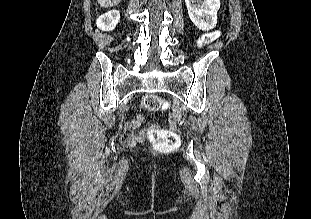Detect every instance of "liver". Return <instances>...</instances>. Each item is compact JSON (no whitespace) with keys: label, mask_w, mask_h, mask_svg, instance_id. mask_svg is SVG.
<instances>
[{"label":"liver","mask_w":311,"mask_h":219,"mask_svg":"<svg viewBox=\"0 0 311 219\" xmlns=\"http://www.w3.org/2000/svg\"><path fill=\"white\" fill-rule=\"evenodd\" d=\"M98 3L102 6V7H112L115 6L116 4H118L121 0H97Z\"/></svg>","instance_id":"1"}]
</instances>
